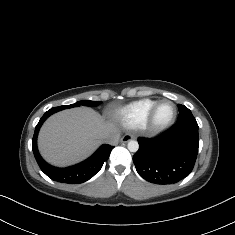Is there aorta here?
Wrapping results in <instances>:
<instances>
[{"label":"aorta","instance_id":"obj_1","mask_svg":"<svg viewBox=\"0 0 235 235\" xmlns=\"http://www.w3.org/2000/svg\"><path fill=\"white\" fill-rule=\"evenodd\" d=\"M127 147L130 152H137L139 149V144L137 141L130 140L127 144Z\"/></svg>","mask_w":235,"mask_h":235}]
</instances>
